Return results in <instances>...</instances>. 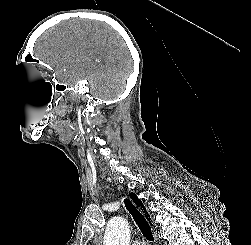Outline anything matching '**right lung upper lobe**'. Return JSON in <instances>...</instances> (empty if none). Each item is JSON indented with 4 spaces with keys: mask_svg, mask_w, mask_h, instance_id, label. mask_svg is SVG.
Masks as SVG:
<instances>
[{
    "mask_svg": "<svg viewBox=\"0 0 251 245\" xmlns=\"http://www.w3.org/2000/svg\"><path fill=\"white\" fill-rule=\"evenodd\" d=\"M130 197L132 198L133 202H134L138 207H141L144 211H146L145 208H144L143 203L141 202L140 199H138V197H137L134 193H130ZM147 217H148V214H147Z\"/></svg>",
    "mask_w": 251,
    "mask_h": 245,
    "instance_id": "1",
    "label": "right lung upper lobe"
}]
</instances>
